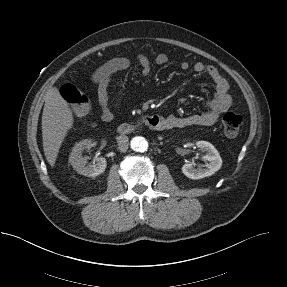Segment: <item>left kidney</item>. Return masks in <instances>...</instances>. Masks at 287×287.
Instances as JSON below:
<instances>
[{"instance_id": "1", "label": "left kidney", "mask_w": 287, "mask_h": 287, "mask_svg": "<svg viewBox=\"0 0 287 287\" xmlns=\"http://www.w3.org/2000/svg\"><path fill=\"white\" fill-rule=\"evenodd\" d=\"M196 146L203 152H206L204 159L209 163H206L204 168H194L191 163H186L182 167V172L190 179L197 180L205 177H209L217 172L222 166V159L216 150V148L207 141H197Z\"/></svg>"}]
</instances>
